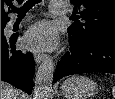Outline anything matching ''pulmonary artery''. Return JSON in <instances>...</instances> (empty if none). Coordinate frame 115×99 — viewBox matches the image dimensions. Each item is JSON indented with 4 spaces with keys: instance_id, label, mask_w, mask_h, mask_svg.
<instances>
[{
    "instance_id": "pulmonary-artery-1",
    "label": "pulmonary artery",
    "mask_w": 115,
    "mask_h": 99,
    "mask_svg": "<svg viewBox=\"0 0 115 99\" xmlns=\"http://www.w3.org/2000/svg\"><path fill=\"white\" fill-rule=\"evenodd\" d=\"M67 11V7L63 1H52L50 4V12L56 15L64 14ZM28 19V18H26ZM15 24V20H11L9 22V26H13Z\"/></svg>"
}]
</instances>
